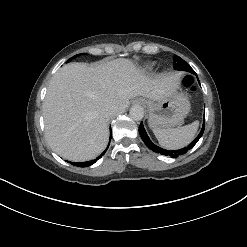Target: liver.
I'll return each mask as SVG.
<instances>
[{
	"instance_id": "liver-1",
	"label": "liver",
	"mask_w": 247,
	"mask_h": 247,
	"mask_svg": "<svg viewBox=\"0 0 247 247\" xmlns=\"http://www.w3.org/2000/svg\"><path fill=\"white\" fill-rule=\"evenodd\" d=\"M178 81V74L147 76L128 59L67 64L51 78L43 102L48 144L67 160H91L108 144L105 109L122 113L137 96L162 100Z\"/></svg>"
}]
</instances>
